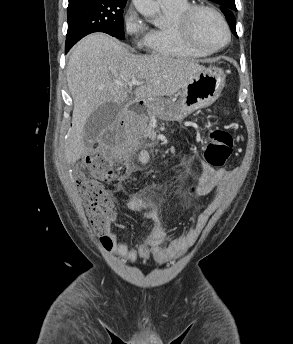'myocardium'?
Here are the masks:
<instances>
[{"label": "myocardium", "instance_id": "myocardium-1", "mask_svg": "<svg viewBox=\"0 0 293 344\" xmlns=\"http://www.w3.org/2000/svg\"><path fill=\"white\" fill-rule=\"evenodd\" d=\"M200 11H207L213 14L223 25L225 32H226V41L215 48H206L200 45L194 38L192 34V22L196 16V14ZM176 32L181 38V40L193 50L210 55L217 53L224 49L226 46L229 45L231 41V30L226 21L225 17L222 13L213 6L206 5V4H195L187 8L176 20L175 22Z\"/></svg>", "mask_w": 293, "mask_h": 344}]
</instances>
